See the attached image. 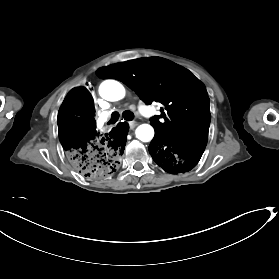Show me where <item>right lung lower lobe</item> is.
<instances>
[{"label": "right lung lower lobe", "mask_w": 279, "mask_h": 279, "mask_svg": "<svg viewBox=\"0 0 279 279\" xmlns=\"http://www.w3.org/2000/svg\"><path fill=\"white\" fill-rule=\"evenodd\" d=\"M94 114L90 92L84 87L72 89L58 112V135L71 167L84 176L104 178L119 167L127 129L120 122L110 133L100 134Z\"/></svg>", "instance_id": "98d812e1"}]
</instances>
